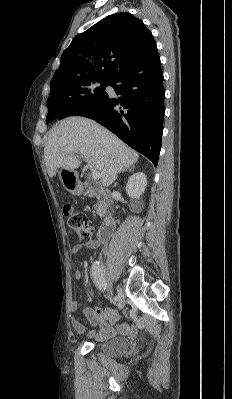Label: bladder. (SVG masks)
Instances as JSON below:
<instances>
[{
  "mask_svg": "<svg viewBox=\"0 0 232 399\" xmlns=\"http://www.w3.org/2000/svg\"><path fill=\"white\" fill-rule=\"evenodd\" d=\"M97 349L105 357L117 359L123 357L129 350V342L123 337H116L110 341L97 345Z\"/></svg>",
  "mask_w": 232,
  "mask_h": 399,
  "instance_id": "bladder-1",
  "label": "bladder"
}]
</instances>
